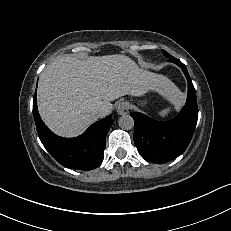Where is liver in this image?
<instances>
[{"label": "liver", "instance_id": "6515ba94", "mask_svg": "<svg viewBox=\"0 0 231 231\" xmlns=\"http://www.w3.org/2000/svg\"><path fill=\"white\" fill-rule=\"evenodd\" d=\"M149 89L162 95L176 92L165 76L143 70L129 57L115 54L79 60L63 55L46 66L37 89L38 110L57 135L76 137L97 121V110L112 111L111 101L141 96Z\"/></svg>", "mask_w": 231, "mask_h": 231}]
</instances>
